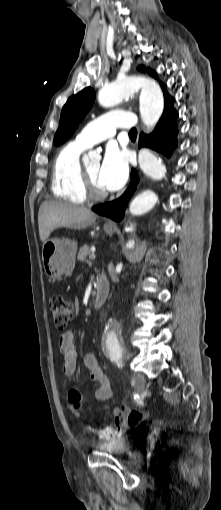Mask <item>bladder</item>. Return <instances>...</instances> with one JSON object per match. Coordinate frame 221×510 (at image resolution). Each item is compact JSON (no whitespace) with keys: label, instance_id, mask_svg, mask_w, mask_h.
I'll use <instances>...</instances> for the list:
<instances>
[{"label":"bladder","instance_id":"1","mask_svg":"<svg viewBox=\"0 0 221 510\" xmlns=\"http://www.w3.org/2000/svg\"><path fill=\"white\" fill-rule=\"evenodd\" d=\"M135 446L134 440L129 436H122L114 440H107L99 443L97 448L100 451L115 456H123L129 453Z\"/></svg>","mask_w":221,"mask_h":510}]
</instances>
